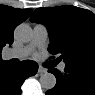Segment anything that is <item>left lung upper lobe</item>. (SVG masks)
Listing matches in <instances>:
<instances>
[{
	"label": "left lung upper lobe",
	"mask_w": 95,
	"mask_h": 95,
	"mask_svg": "<svg viewBox=\"0 0 95 95\" xmlns=\"http://www.w3.org/2000/svg\"><path fill=\"white\" fill-rule=\"evenodd\" d=\"M31 22L43 23L50 35L48 51L68 65L95 70V15L86 9L60 6L36 9Z\"/></svg>",
	"instance_id": "left-lung-upper-lobe-1"
}]
</instances>
